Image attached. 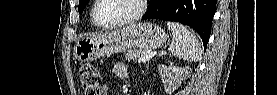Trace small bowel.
Returning <instances> with one entry per match:
<instances>
[{"mask_svg":"<svg viewBox=\"0 0 277 95\" xmlns=\"http://www.w3.org/2000/svg\"><path fill=\"white\" fill-rule=\"evenodd\" d=\"M113 72L117 76H119L123 79H128L129 78L127 68H126L125 64H123V63L115 64V66L113 67ZM98 94L99 95H108V86L102 85L98 90Z\"/></svg>","mask_w":277,"mask_h":95,"instance_id":"c3829d8e","label":"small bowel"}]
</instances>
